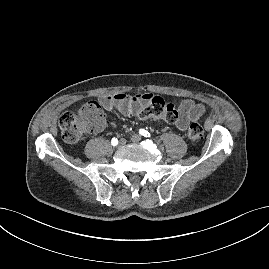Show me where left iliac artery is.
I'll return each mask as SVG.
<instances>
[{"label": "left iliac artery", "mask_w": 269, "mask_h": 269, "mask_svg": "<svg viewBox=\"0 0 269 269\" xmlns=\"http://www.w3.org/2000/svg\"><path fill=\"white\" fill-rule=\"evenodd\" d=\"M139 134L144 136V137H150V133L146 131L145 129H140Z\"/></svg>", "instance_id": "left-iliac-artery-1"}]
</instances>
